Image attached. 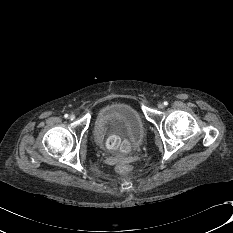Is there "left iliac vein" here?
<instances>
[{
    "label": "left iliac vein",
    "mask_w": 233,
    "mask_h": 233,
    "mask_svg": "<svg viewBox=\"0 0 233 233\" xmlns=\"http://www.w3.org/2000/svg\"><path fill=\"white\" fill-rule=\"evenodd\" d=\"M158 108H159V109H163V108H164V104H163V103H161V102H160V103H158Z\"/></svg>",
    "instance_id": "4c4485c4"
}]
</instances>
